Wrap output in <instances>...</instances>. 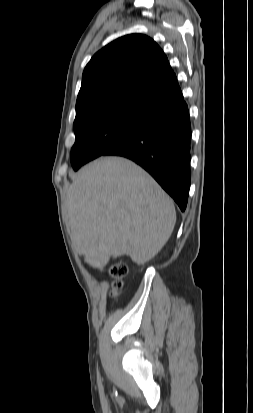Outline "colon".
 <instances>
[{
	"mask_svg": "<svg viewBox=\"0 0 253 413\" xmlns=\"http://www.w3.org/2000/svg\"><path fill=\"white\" fill-rule=\"evenodd\" d=\"M106 272L113 279L111 293L113 296H116L122 287V278L126 276L128 267L123 262H112L107 267Z\"/></svg>",
	"mask_w": 253,
	"mask_h": 413,
	"instance_id": "1",
	"label": "colon"
}]
</instances>
